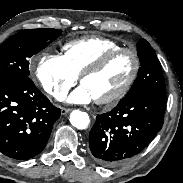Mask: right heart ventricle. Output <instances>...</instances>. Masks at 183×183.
I'll list each match as a JSON object with an SVG mask.
<instances>
[{
	"mask_svg": "<svg viewBox=\"0 0 183 183\" xmlns=\"http://www.w3.org/2000/svg\"><path fill=\"white\" fill-rule=\"evenodd\" d=\"M119 47H121L120 44L112 39L89 36L65 44L63 57L68 67L80 76L104 54Z\"/></svg>",
	"mask_w": 183,
	"mask_h": 183,
	"instance_id": "right-heart-ventricle-1",
	"label": "right heart ventricle"
}]
</instances>
